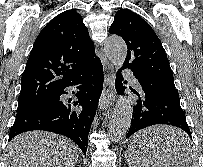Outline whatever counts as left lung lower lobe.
<instances>
[{
    "instance_id": "left-lung-lower-lobe-1",
    "label": "left lung lower lobe",
    "mask_w": 203,
    "mask_h": 167,
    "mask_svg": "<svg viewBox=\"0 0 203 167\" xmlns=\"http://www.w3.org/2000/svg\"><path fill=\"white\" fill-rule=\"evenodd\" d=\"M133 75L137 78V75ZM137 80L139 88L137 90L131 88L136 100L132 106V122L126 138L145 127L166 124L181 128L192 139L184 111L180 106L178 92L175 89H164L156 84L143 82L138 78ZM116 81L120 83V87H123L119 74ZM178 147L183 150L190 147L189 137H187V142L179 143Z\"/></svg>"
}]
</instances>
